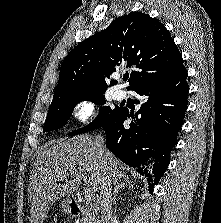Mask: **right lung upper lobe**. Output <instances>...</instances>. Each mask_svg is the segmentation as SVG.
Wrapping results in <instances>:
<instances>
[{"instance_id": "cb5924a9", "label": "right lung upper lobe", "mask_w": 221, "mask_h": 223, "mask_svg": "<svg viewBox=\"0 0 221 223\" xmlns=\"http://www.w3.org/2000/svg\"><path fill=\"white\" fill-rule=\"evenodd\" d=\"M135 67L130 74L134 87L178 73L181 54L169 31L158 20L141 12L115 19L108 28L75 47L63 60L53 101L73 95L105 92L106 78L116 67ZM116 81H111V85Z\"/></svg>"}]
</instances>
